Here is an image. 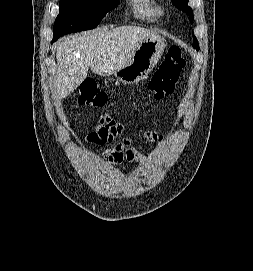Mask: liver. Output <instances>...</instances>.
<instances>
[{
	"instance_id": "obj_1",
	"label": "liver",
	"mask_w": 253,
	"mask_h": 271,
	"mask_svg": "<svg viewBox=\"0 0 253 271\" xmlns=\"http://www.w3.org/2000/svg\"><path fill=\"white\" fill-rule=\"evenodd\" d=\"M160 36L136 26L103 27L87 33L69 35L57 43L56 97L72 93L86 79L89 67L101 76L123 68L140 43Z\"/></svg>"
}]
</instances>
